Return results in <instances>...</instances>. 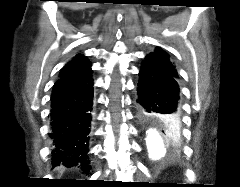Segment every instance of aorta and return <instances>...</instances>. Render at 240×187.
I'll return each mask as SVG.
<instances>
[{
    "instance_id": "762f6f07",
    "label": "aorta",
    "mask_w": 240,
    "mask_h": 187,
    "mask_svg": "<svg viewBox=\"0 0 240 187\" xmlns=\"http://www.w3.org/2000/svg\"><path fill=\"white\" fill-rule=\"evenodd\" d=\"M145 140L149 157L153 160L159 159L165 154L166 143L160 132L153 127H149L145 132Z\"/></svg>"
}]
</instances>
